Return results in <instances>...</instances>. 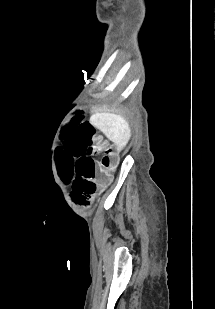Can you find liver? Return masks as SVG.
Wrapping results in <instances>:
<instances>
[{
    "mask_svg": "<svg viewBox=\"0 0 215 309\" xmlns=\"http://www.w3.org/2000/svg\"><path fill=\"white\" fill-rule=\"evenodd\" d=\"M91 122L93 126L100 128L109 140L117 144L118 150L126 146L131 136V128L125 116L113 112H96L91 116Z\"/></svg>",
    "mask_w": 215,
    "mask_h": 309,
    "instance_id": "liver-1",
    "label": "liver"
}]
</instances>
